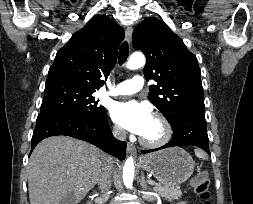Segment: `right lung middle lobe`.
I'll use <instances>...</instances> for the list:
<instances>
[{
  "instance_id": "obj_1",
  "label": "right lung middle lobe",
  "mask_w": 253,
  "mask_h": 204,
  "mask_svg": "<svg viewBox=\"0 0 253 204\" xmlns=\"http://www.w3.org/2000/svg\"><path fill=\"white\" fill-rule=\"evenodd\" d=\"M95 91L70 83L46 84L40 113H65L100 120L106 111L92 96Z\"/></svg>"
}]
</instances>
